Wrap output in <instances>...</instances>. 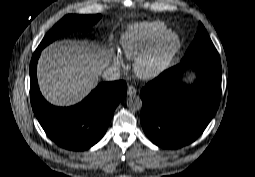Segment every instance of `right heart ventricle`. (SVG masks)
Returning <instances> with one entry per match:
<instances>
[{
	"mask_svg": "<svg viewBox=\"0 0 255 177\" xmlns=\"http://www.w3.org/2000/svg\"><path fill=\"white\" fill-rule=\"evenodd\" d=\"M166 31V25L159 21L129 25L120 38L125 56L130 60L136 59L157 37Z\"/></svg>",
	"mask_w": 255,
	"mask_h": 177,
	"instance_id": "e07e8e85",
	"label": "right heart ventricle"
}]
</instances>
